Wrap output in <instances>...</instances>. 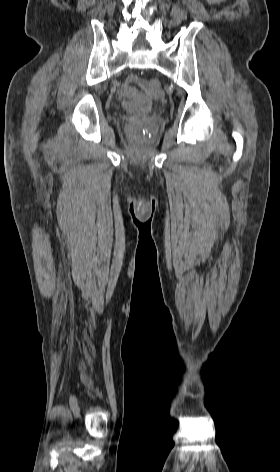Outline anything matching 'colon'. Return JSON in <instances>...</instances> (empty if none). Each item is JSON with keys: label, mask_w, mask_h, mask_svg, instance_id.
<instances>
[{"label": "colon", "mask_w": 280, "mask_h": 472, "mask_svg": "<svg viewBox=\"0 0 280 472\" xmlns=\"http://www.w3.org/2000/svg\"><path fill=\"white\" fill-rule=\"evenodd\" d=\"M147 87L151 92L158 93L160 91L159 82L156 79H151L147 82Z\"/></svg>", "instance_id": "5ec220e1"}]
</instances>
